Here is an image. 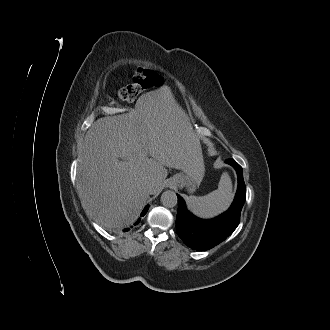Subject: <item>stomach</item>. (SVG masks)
I'll use <instances>...</instances> for the list:
<instances>
[{"mask_svg":"<svg viewBox=\"0 0 330 330\" xmlns=\"http://www.w3.org/2000/svg\"><path fill=\"white\" fill-rule=\"evenodd\" d=\"M205 173V166L203 161L202 152L193 155L187 166L182 172L176 174L174 179L179 188L186 187V189L193 193L199 187Z\"/></svg>","mask_w":330,"mask_h":330,"instance_id":"obj_1","label":"stomach"}]
</instances>
